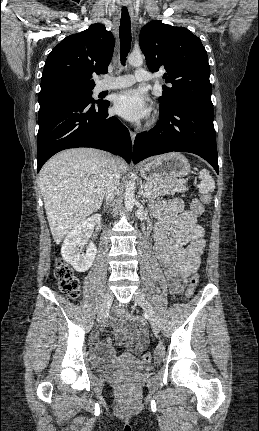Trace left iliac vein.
<instances>
[{
    "mask_svg": "<svg viewBox=\"0 0 259 431\" xmlns=\"http://www.w3.org/2000/svg\"><path fill=\"white\" fill-rule=\"evenodd\" d=\"M133 300L139 306H141L143 309L146 310L147 315H148V319L150 321V324H151L154 332L158 333L160 331V324H159L158 317H157L155 311L153 310V308L151 307V305L149 304V302L147 301L145 294L141 289H137L134 292Z\"/></svg>",
    "mask_w": 259,
    "mask_h": 431,
    "instance_id": "1",
    "label": "left iliac vein"
}]
</instances>
